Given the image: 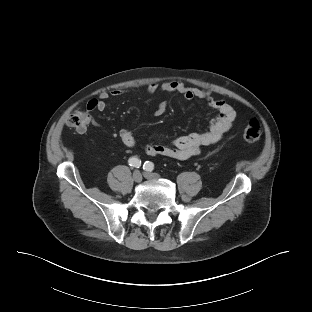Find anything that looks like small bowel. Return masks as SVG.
Masks as SVG:
<instances>
[{"instance_id":"small-bowel-1","label":"small bowel","mask_w":312,"mask_h":312,"mask_svg":"<svg viewBox=\"0 0 312 312\" xmlns=\"http://www.w3.org/2000/svg\"><path fill=\"white\" fill-rule=\"evenodd\" d=\"M147 93L155 94L157 91H162L167 94H180L186 100L201 99L206 104L216 110L218 115L212 120L209 130L204 133H194L186 136H180L171 141L170 144L165 145L156 141L152 144H147L144 147L146 154L150 156H165L177 160H184L196 156L201 149L217 143L222 136L234 124L236 113L231 105L222 99L217 98L209 89L192 88L186 86L181 81H166L161 84L152 82L147 86ZM125 91L114 89L110 92H102L99 97L92 99L87 103V110L104 111L107 107V101L112 97H120ZM168 103L162 101L156 111V116H161L165 113ZM92 121L89 117V122ZM85 131V130H83ZM80 131V132H83ZM119 137L123 144L129 147L138 145V141L130 129H121Z\"/></svg>"}]
</instances>
